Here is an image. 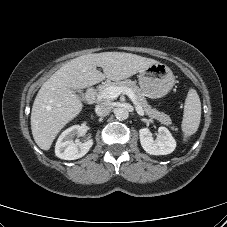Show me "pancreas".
<instances>
[{
	"mask_svg": "<svg viewBox=\"0 0 227 227\" xmlns=\"http://www.w3.org/2000/svg\"><path fill=\"white\" fill-rule=\"evenodd\" d=\"M110 86L128 87V88H130L134 92L138 104L142 107V109H143V111L145 112L146 115H148L151 118L157 119L159 122H161L164 125H167V126H171L172 125L171 118L167 114H165L163 112H159L156 109H153L147 103L143 92L136 85V83L134 81H131V80L116 81V82L107 81L105 84L101 85L97 89L98 90V94L100 95L101 92L105 88L110 87ZM171 128L174 129V127H171Z\"/></svg>",
	"mask_w": 227,
	"mask_h": 227,
	"instance_id": "pancreas-1",
	"label": "pancreas"
}]
</instances>
